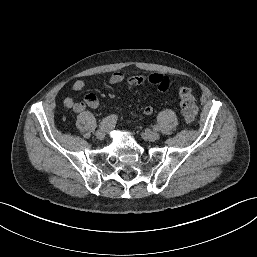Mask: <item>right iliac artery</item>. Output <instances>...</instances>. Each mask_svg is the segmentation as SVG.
<instances>
[{"label": "right iliac artery", "instance_id": "82829eb1", "mask_svg": "<svg viewBox=\"0 0 257 257\" xmlns=\"http://www.w3.org/2000/svg\"><path fill=\"white\" fill-rule=\"evenodd\" d=\"M117 116L116 115H110L106 118H104L100 123H99V128H106L108 126H113L117 122Z\"/></svg>", "mask_w": 257, "mask_h": 257}]
</instances>
